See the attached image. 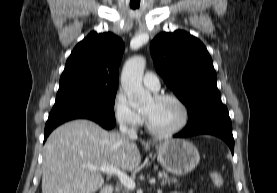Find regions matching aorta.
<instances>
[{"instance_id":"aorta-1","label":"aorta","mask_w":277,"mask_h":193,"mask_svg":"<svg viewBox=\"0 0 277 193\" xmlns=\"http://www.w3.org/2000/svg\"><path fill=\"white\" fill-rule=\"evenodd\" d=\"M145 65L144 57L134 56L125 62L122 69L121 86L132 107H138L151 99V93L142 85Z\"/></svg>"}]
</instances>
